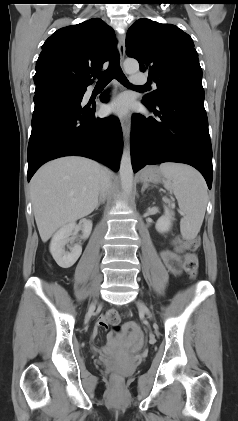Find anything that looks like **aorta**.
<instances>
[{"instance_id":"1","label":"aorta","mask_w":238,"mask_h":421,"mask_svg":"<svg viewBox=\"0 0 238 421\" xmlns=\"http://www.w3.org/2000/svg\"><path fill=\"white\" fill-rule=\"evenodd\" d=\"M124 71L128 74L139 70V63L135 59H126L123 63ZM120 178L123 194L129 197L133 187V169L129 150H124L120 161Z\"/></svg>"}]
</instances>
